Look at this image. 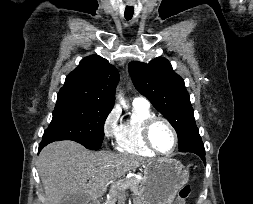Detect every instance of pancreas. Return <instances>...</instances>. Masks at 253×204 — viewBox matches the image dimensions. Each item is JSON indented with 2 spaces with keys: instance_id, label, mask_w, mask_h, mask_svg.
<instances>
[{
  "instance_id": "cf45deb5",
  "label": "pancreas",
  "mask_w": 253,
  "mask_h": 204,
  "mask_svg": "<svg viewBox=\"0 0 253 204\" xmlns=\"http://www.w3.org/2000/svg\"><path fill=\"white\" fill-rule=\"evenodd\" d=\"M126 181L130 182L128 187H130L131 191L135 195H138L140 180L137 178H126V179L117 181L116 183L111 185L110 192H109V199L104 204H115L116 201L120 202L125 199V197H126L125 189L126 188L121 187V184L125 183Z\"/></svg>"
}]
</instances>
